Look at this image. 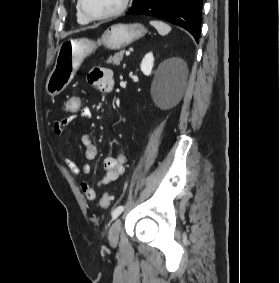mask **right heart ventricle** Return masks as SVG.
<instances>
[{"label":"right heart ventricle","instance_id":"obj_1","mask_svg":"<svg viewBox=\"0 0 280 283\" xmlns=\"http://www.w3.org/2000/svg\"><path fill=\"white\" fill-rule=\"evenodd\" d=\"M76 18L79 24H87L89 22V20H87L81 13L79 6H78V2L76 4Z\"/></svg>","mask_w":280,"mask_h":283}]
</instances>
